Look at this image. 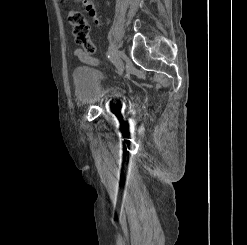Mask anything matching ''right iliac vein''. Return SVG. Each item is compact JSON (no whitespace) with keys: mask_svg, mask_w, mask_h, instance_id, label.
<instances>
[{"mask_svg":"<svg viewBox=\"0 0 247 245\" xmlns=\"http://www.w3.org/2000/svg\"><path fill=\"white\" fill-rule=\"evenodd\" d=\"M110 51L112 52L114 57H109L108 61L111 64H115V66L117 67V69L119 71V74H122L124 66H123V62L121 60V52L115 47L114 44L110 45Z\"/></svg>","mask_w":247,"mask_h":245,"instance_id":"63e3f726","label":"right iliac vein"}]
</instances>
